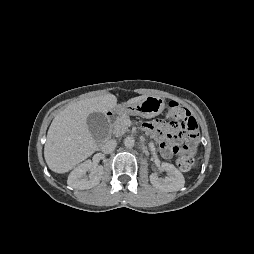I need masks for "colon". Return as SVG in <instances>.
<instances>
[{"instance_id": "colon-1", "label": "colon", "mask_w": 254, "mask_h": 254, "mask_svg": "<svg viewBox=\"0 0 254 254\" xmlns=\"http://www.w3.org/2000/svg\"><path fill=\"white\" fill-rule=\"evenodd\" d=\"M167 126L176 127V139L185 141L181 146H176L177 165L180 170L188 172L194 164L193 152L199 136V128L196 120L190 115L188 109L176 101L167 104Z\"/></svg>"}]
</instances>
